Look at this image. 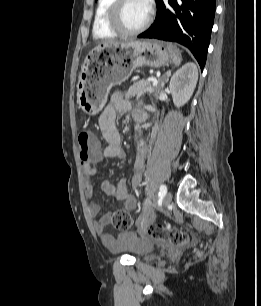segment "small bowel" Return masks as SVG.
<instances>
[{"label":"small bowel","mask_w":261,"mask_h":306,"mask_svg":"<svg viewBox=\"0 0 261 306\" xmlns=\"http://www.w3.org/2000/svg\"><path fill=\"white\" fill-rule=\"evenodd\" d=\"M131 109V104L128 100L122 98L120 94H113L110 103L105 107L99 117V126L106 142V145L101 153L102 158L119 159L126 157V153L121 145V135L117 128L118 116L128 113ZM144 115L141 109H137L134 117L138 118ZM139 152L134 162V174L131 178V187L137 188L142 181V172L145 165V155L142 149V141L139 139ZM84 172V190L88 201V212L93 219V228L103 244L114 251H123L128 247L135 245L138 241L136 235L132 232H124L115 237L105 231L106 226L110 223L111 212L103 214L97 219L100 214V204L94 198V184L92 178L97 174V170L93 167L92 161L83 163ZM102 191L110 196L115 197L124 204L127 210L136 208V198L128 188L125 179H120L117 183H112L105 179L101 183Z\"/></svg>","instance_id":"small-bowel-1"}]
</instances>
